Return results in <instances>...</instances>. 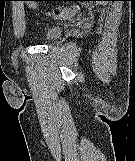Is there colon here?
I'll return each instance as SVG.
<instances>
[{"label": "colon", "instance_id": "5ec220e1", "mask_svg": "<svg viewBox=\"0 0 135 161\" xmlns=\"http://www.w3.org/2000/svg\"><path fill=\"white\" fill-rule=\"evenodd\" d=\"M26 1L28 6L31 8H36L34 0H21ZM78 11L77 7L70 8H55L48 12V15L54 19L67 20L72 18Z\"/></svg>", "mask_w": 135, "mask_h": 161}]
</instances>
